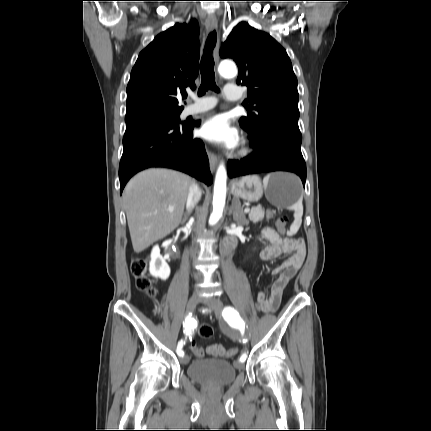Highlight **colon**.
Listing matches in <instances>:
<instances>
[{"label":"colon","instance_id":"1","mask_svg":"<svg viewBox=\"0 0 431 431\" xmlns=\"http://www.w3.org/2000/svg\"><path fill=\"white\" fill-rule=\"evenodd\" d=\"M267 217L268 218H274V223L277 228V230L281 233V237L285 236L286 231V223L287 219H276V213L273 210L267 211ZM130 269L132 275L135 277V285L137 289L144 292L149 298L154 299L157 294L156 288L152 284V280L148 274V261L146 258L143 257H136L132 259L130 264ZM253 304H255L256 312L258 315H260L261 312V305H259L258 299H253ZM159 312V307L155 308V313ZM198 333L200 337L204 339H208L212 337L213 335V328L208 323H202L198 328ZM238 346L230 347V350H227L226 358H233L236 351L238 350ZM190 354L192 355L193 359L201 360L204 357V350L200 347L199 343L193 342L191 344Z\"/></svg>","mask_w":431,"mask_h":431}]
</instances>
